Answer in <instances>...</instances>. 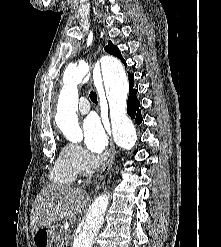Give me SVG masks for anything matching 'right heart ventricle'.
<instances>
[{
    "label": "right heart ventricle",
    "instance_id": "e07e8e85",
    "mask_svg": "<svg viewBox=\"0 0 221 247\" xmlns=\"http://www.w3.org/2000/svg\"><path fill=\"white\" fill-rule=\"evenodd\" d=\"M77 173L73 168L67 146L63 147L58 154L56 162L50 172V178L53 182L58 184H71L75 181Z\"/></svg>",
    "mask_w": 221,
    "mask_h": 247
}]
</instances>
